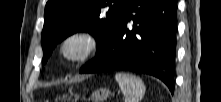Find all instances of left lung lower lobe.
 I'll return each instance as SVG.
<instances>
[{
	"instance_id": "1",
	"label": "left lung lower lobe",
	"mask_w": 221,
	"mask_h": 102,
	"mask_svg": "<svg viewBox=\"0 0 221 102\" xmlns=\"http://www.w3.org/2000/svg\"><path fill=\"white\" fill-rule=\"evenodd\" d=\"M176 29L175 0H127L112 36L80 73H145L162 80L173 93Z\"/></svg>"
}]
</instances>
